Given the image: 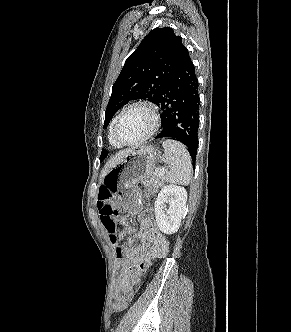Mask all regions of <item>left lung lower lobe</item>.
<instances>
[{
	"mask_svg": "<svg viewBox=\"0 0 291 332\" xmlns=\"http://www.w3.org/2000/svg\"><path fill=\"white\" fill-rule=\"evenodd\" d=\"M161 107L162 131L157 138H174L189 149L195 162L198 148L199 92L195 67L186 49L156 103Z\"/></svg>",
	"mask_w": 291,
	"mask_h": 332,
	"instance_id": "left-lung-lower-lobe-1",
	"label": "left lung lower lobe"
}]
</instances>
